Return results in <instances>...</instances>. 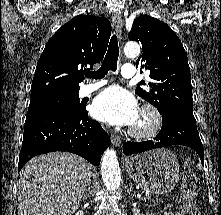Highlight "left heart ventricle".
<instances>
[{"label":"left heart ventricle","mask_w":221,"mask_h":215,"mask_svg":"<svg viewBox=\"0 0 221 215\" xmlns=\"http://www.w3.org/2000/svg\"><path fill=\"white\" fill-rule=\"evenodd\" d=\"M147 124V120L145 119V117L139 115V117L137 118L136 122L133 124V126L135 127H143Z\"/></svg>","instance_id":"obj_1"}]
</instances>
